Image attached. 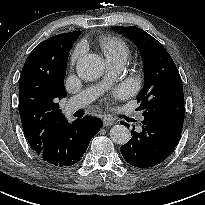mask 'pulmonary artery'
Segmentation results:
<instances>
[{"instance_id":"obj_1","label":"pulmonary artery","mask_w":205,"mask_h":205,"mask_svg":"<svg viewBox=\"0 0 205 205\" xmlns=\"http://www.w3.org/2000/svg\"><path fill=\"white\" fill-rule=\"evenodd\" d=\"M124 61H108V77L118 74L124 67ZM102 91L101 86L89 87L81 91L79 94L73 96L65 106L67 113H72L78 109H81L92 102Z\"/></svg>"}]
</instances>
